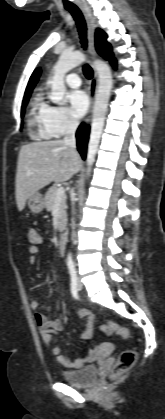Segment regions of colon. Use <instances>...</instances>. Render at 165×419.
Here are the masks:
<instances>
[{
    "mask_svg": "<svg viewBox=\"0 0 165 419\" xmlns=\"http://www.w3.org/2000/svg\"><path fill=\"white\" fill-rule=\"evenodd\" d=\"M28 235H29V240L32 243H37L39 241L38 234L34 230H30ZM101 327H102V330L104 331V333L108 334V335L109 334H116V335H119V336L123 337L126 340L130 336L129 331L125 327H123V326H121L117 323L108 322V323L102 324ZM136 359H137L136 350H134V349L123 350L119 354V356H118V358H117V360H116V362H115V364L112 368L111 376L112 377H118V376L124 374L125 372H127L128 370H130L133 367V365L135 364Z\"/></svg>",
    "mask_w": 165,
    "mask_h": 419,
    "instance_id": "obj_1",
    "label": "colon"
}]
</instances>
